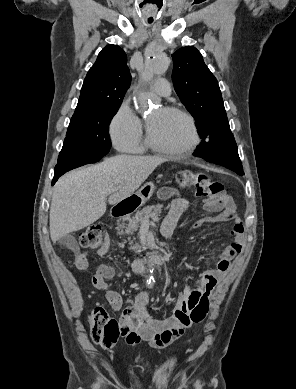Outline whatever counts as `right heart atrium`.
Instances as JSON below:
<instances>
[{
  "label": "right heart atrium",
  "instance_id": "1",
  "mask_svg": "<svg viewBox=\"0 0 296 389\" xmlns=\"http://www.w3.org/2000/svg\"><path fill=\"white\" fill-rule=\"evenodd\" d=\"M109 133L114 147L124 153H138L143 149V124L127 105L122 104L112 117Z\"/></svg>",
  "mask_w": 296,
  "mask_h": 389
}]
</instances>
